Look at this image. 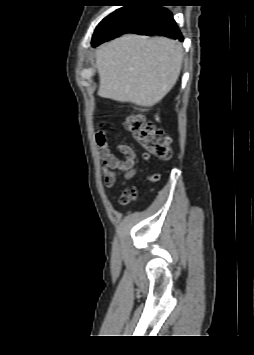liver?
<instances>
[{
	"label": "liver",
	"instance_id": "6515ba94",
	"mask_svg": "<svg viewBox=\"0 0 254 355\" xmlns=\"http://www.w3.org/2000/svg\"><path fill=\"white\" fill-rule=\"evenodd\" d=\"M182 61V46L174 40L123 35L96 50L98 95L152 107L177 82Z\"/></svg>",
	"mask_w": 254,
	"mask_h": 355
}]
</instances>
